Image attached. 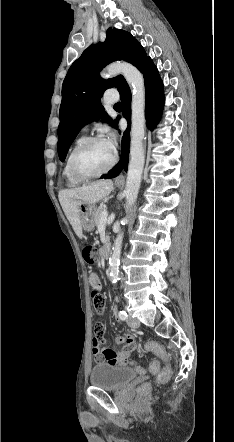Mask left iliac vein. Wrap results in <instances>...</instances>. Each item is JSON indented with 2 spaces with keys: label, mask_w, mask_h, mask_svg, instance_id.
<instances>
[{
  "label": "left iliac vein",
  "mask_w": 234,
  "mask_h": 442,
  "mask_svg": "<svg viewBox=\"0 0 234 442\" xmlns=\"http://www.w3.org/2000/svg\"><path fill=\"white\" fill-rule=\"evenodd\" d=\"M127 324L132 328H137L140 326V322L137 318L129 316L127 318Z\"/></svg>",
  "instance_id": "4c4485c4"
}]
</instances>
